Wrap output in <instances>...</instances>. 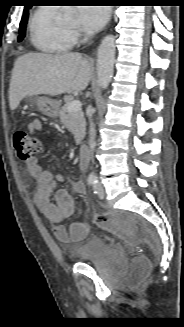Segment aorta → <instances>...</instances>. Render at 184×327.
I'll use <instances>...</instances> for the list:
<instances>
[{
  "mask_svg": "<svg viewBox=\"0 0 184 327\" xmlns=\"http://www.w3.org/2000/svg\"><path fill=\"white\" fill-rule=\"evenodd\" d=\"M115 63V37L105 36L97 50V77L101 89H106L111 82Z\"/></svg>",
  "mask_w": 184,
  "mask_h": 327,
  "instance_id": "762f6f07",
  "label": "aorta"
}]
</instances>
